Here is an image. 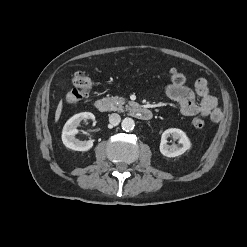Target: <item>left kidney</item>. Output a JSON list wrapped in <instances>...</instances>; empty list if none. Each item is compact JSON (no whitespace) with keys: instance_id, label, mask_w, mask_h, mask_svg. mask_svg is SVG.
<instances>
[{"instance_id":"left-kidney-1","label":"left kidney","mask_w":247,"mask_h":247,"mask_svg":"<svg viewBox=\"0 0 247 247\" xmlns=\"http://www.w3.org/2000/svg\"><path fill=\"white\" fill-rule=\"evenodd\" d=\"M172 136L174 139H178L179 146L167 145L168 137ZM191 148V142L186 136L185 132L177 128H170L163 132L160 142V152L166 157H176L185 153Z\"/></svg>"}]
</instances>
